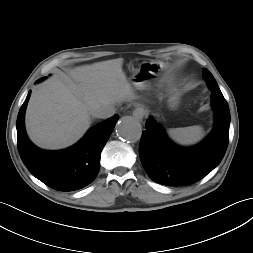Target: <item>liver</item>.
<instances>
[{
  "label": "liver",
  "mask_w": 253,
  "mask_h": 253,
  "mask_svg": "<svg viewBox=\"0 0 253 253\" xmlns=\"http://www.w3.org/2000/svg\"><path fill=\"white\" fill-rule=\"evenodd\" d=\"M123 61L76 67L70 76L51 78L34 90L26 110L30 139L44 149L68 147L90 127L96 109L131 99Z\"/></svg>",
  "instance_id": "6515ba94"
}]
</instances>
